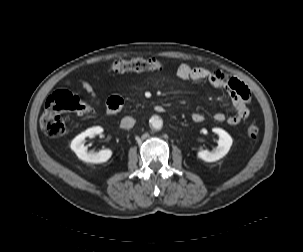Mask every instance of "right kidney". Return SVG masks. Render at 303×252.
<instances>
[{"instance_id": "obj_1", "label": "right kidney", "mask_w": 303, "mask_h": 252, "mask_svg": "<svg viewBox=\"0 0 303 252\" xmlns=\"http://www.w3.org/2000/svg\"><path fill=\"white\" fill-rule=\"evenodd\" d=\"M102 132V127H92L82 132L72 140L70 147L80 160L89 163H104L110 159L112 156V151L110 149H104L97 153H94L88 152L87 147L84 145V140L86 137H93Z\"/></svg>"}]
</instances>
